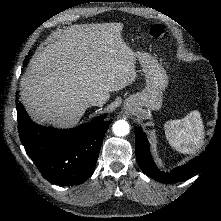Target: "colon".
Returning <instances> with one entry per match:
<instances>
[{"instance_id": "5ec220e1", "label": "colon", "mask_w": 221, "mask_h": 221, "mask_svg": "<svg viewBox=\"0 0 221 221\" xmlns=\"http://www.w3.org/2000/svg\"><path fill=\"white\" fill-rule=\"evenodd\" d=\"M149 34L153 38H162L165 35V29L161 25H153L149 31Z\"/></svg>"}]
</instances>
